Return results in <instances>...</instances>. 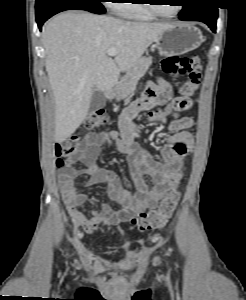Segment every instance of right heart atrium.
Here are the masks:
<instances>
[{
	"instance_id": "obj_1",
	"label": "right heart atrium",
	"mask_w": 246,
	"mask_h": 300,
	"mask_svg": "<svg viewBox=\"0 0 246 300\" xmlns=\"http://www.w3.org/2000/svg\"><path fill=\"white\" fill-rule=\"evenodd\" d=\"M118 0H109V7L115 10V7L118 3H116Z\"/></svg>"
}]
</instances>
